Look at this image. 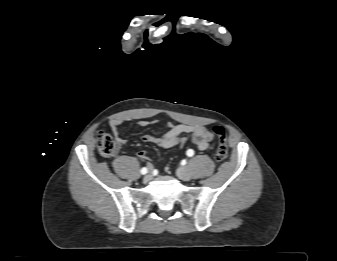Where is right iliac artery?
Wrapping results in <instances>:
<instances>
[{
	"mask_svg": "<svg viewBox=\"0 0 337 261\" xmlns=\"http://www.w3.org/2000/svg\"><path fill=\"white\" fill-rule=\"evenodd\" d=\"M148 172V170H147V168L146 167H143L142 169H141V174H146Z\"/></svg>",
	"mask_w": 337,
	"mask_h": 261,
	"instance_id": "right-iliac-artery-1",
	"label": "right iliac artery"
}]
</instances>
